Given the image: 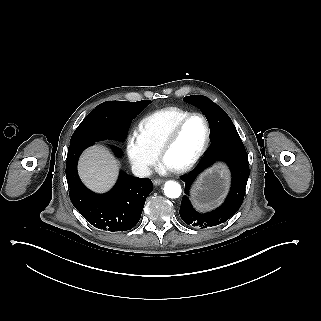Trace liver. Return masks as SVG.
<instances>
[{"label":"liver","instance_id":"liver-1","mask_svg":"<svg viewBox=\"0 0 321 321\" xmlns=\"http://www.w3.org/2000/svg\"><path fill=\"white\" fill-rule=\"evenodd\" d=\"M78 172L88 188L101 193L109 190L115 183L118 162L106 148L93 146L80 157Z\"/></svg>","mask_w":321,"mask_h":321}]
</instances>
